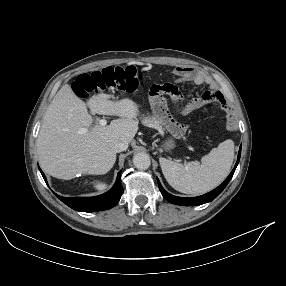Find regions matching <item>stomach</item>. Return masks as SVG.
Segmentation results:
<instances>
[{"label":"stomach","mask_w":286,"mask_h":286,"mask_svg":"<svg viewBox=\"0 0 286 286\" xmlns=\"http://www.w3.org/2000/svg\"><path fill=\"white\" fill-rule=\"evenodd\" d=\"M160 121V120H159ZM170 132V131H169ZM174 137H176L172 132H170ZM175 147V142L173 139H168L165 141V143L163 144V148L166 151H171L173 148Z\"/></svg>","instance_id":"obj_1"}]
</instances>
